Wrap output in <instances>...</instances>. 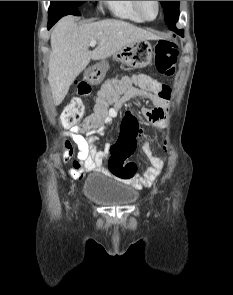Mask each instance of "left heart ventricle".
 <instances>
[{
    "label": "left heart ventricle",
    "instance_id": "obj_1",
    "mask_svg": "<svg viewBox=\"0 0 233 295\" xmlns=\"http://www.w3.org/2000/svg\"><path fill=\"white\" fill-rule=\"evenodd\" d=\"M140 6L143 14L147 18H154L157 14V5L155 1H140Z\"/></svg>",
    "mask_w": 233,
    "mask_h": 295
}]
</instances>
